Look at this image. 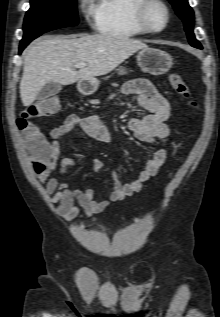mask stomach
<instances>
[{"label":"stomach","mask_w":220,"mask_h":317,"mask_svg":"<svg viewBox=\"0 0 220 317\" xmlns=\"http://www.w3.org/2000/svg\"><path fill=\"white\" fill-rule=\"evenodd\" d=\"M137 63L143 71L152 75H161L169 71L173 65V59L163 50L147 47L137 54ZM117 71L121 75L127 73L124 67H120ZM77 86L81 93L92 94L98 89L99 81L96 78L80 80Z\"/></svg>","instance_id":"1"}]
</instances>
